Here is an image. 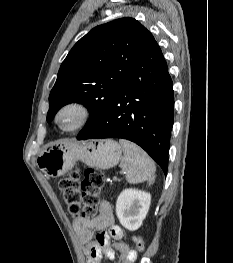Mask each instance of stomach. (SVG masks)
<instances>
[{
    "label": "stomach",
    "mask_w": 233,
    "mask_h": 263,
    "mask_svg": "<svg viewBox=\"0 0 233 263\" xmlns=\"http://www.w3.org/2000/svg\"><path fill=\"white\" fill-rule=\"evenodd\" d=\"M122 157L121 146L113 140H99L86 144L61 141L45 146L37 158L38 167L50 177H59L73 168L77 160L90 167L109 169Z\"/></svg>",
    "instance_id": "1"
}]
</instances>
